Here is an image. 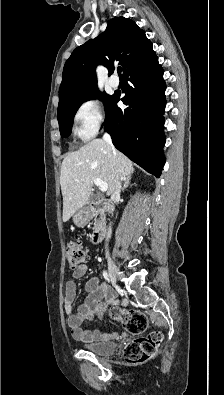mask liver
<instances>
[{
    "mask_svg": "<svg viewBox=\"0 0 224 395\" xmlns=\"http://www.w3.org/2000/svg\"><path fill=\"white\" fill-rule=\"evenodd\" d=\"M133 163L103 139H94L67 155L61 165L63 221L67 222L89 200L94 179L108 185L111 195L118 181L131 177Z\"/></svg>",
    "mask_w": 224,
    "mask_h": 395,
    "instance_id": "6515ba94",
    "label": "liver"
}]
</instances>
